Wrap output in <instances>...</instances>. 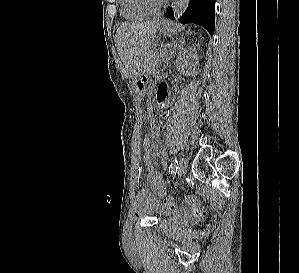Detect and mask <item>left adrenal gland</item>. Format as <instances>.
<instances>
[{
  "mask_svg": "<svg viewBox=\"0 0 299 273\" xmlns=\"http://www.w3.org/2000/svg\"><path fill=\"white\" fill-rule=\"evenodd\" d=\"M182 47H183V42L180 40L179 43H175L173 47L171 46L169 48L168 56L166 57V65H165L164 69L167 68L168 65L170 64V59L174 56L176 51Z\"/></svg>",
  "mask_w": 299,
  "mask_h": 273,
  "instance_id": "1",
  "label": "left adrenal gland"
}]
</instances>
